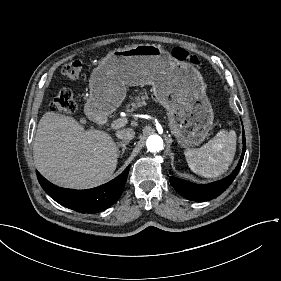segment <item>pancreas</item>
<instances>
[{
  "instance_id": "obj_1",
  "label": "pancreas",
  "mask_w": 281,
  "mask_h": 281,
  "mask_svg": "<svg viewBox=\"0 0 281 281\" xmlns=\"http://www.w3.org/2000/svg\"><path fill=\"white\" fill-rule=\"evenodd\" d=\"M138 91V90H136ZM130 99L132 100L131 104H129L127 107V111L128 112H133L135 109L142 107V106H146V100L149 99L148 94L146 92L145 89H143L142 92H139V94L135 97H130Z\"/></svg>"
}]
</instances>
